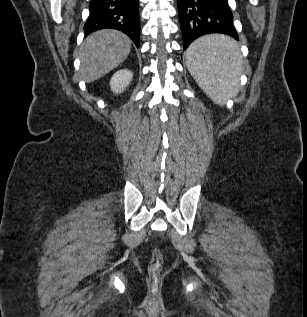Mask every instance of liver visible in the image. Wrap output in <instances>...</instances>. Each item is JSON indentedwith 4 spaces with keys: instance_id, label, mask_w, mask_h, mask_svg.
Returning a JSON list of instances; mask_svg holds the SVG:
<instances>
[{
    "instance_id": "liver-1",
    "label": "liver",
    "mask_w": 307,
    "mask_h": 317,
    "mask_svg": "<svg viewBox=\"0 0 307 317\" xmlns=\"http://www.w3.org/2000/svg\"><path fill=\"white\" fill-rule=\"evenodd\" d=\"M131 40L113 29L99 30L89 35L80 48V73L93 82L121 64L129 55Z\"/></svg>"
}]
</instances>
